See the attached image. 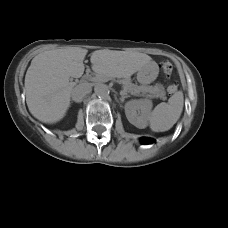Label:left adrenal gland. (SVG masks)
I'll list each match as a JSON object with an SVG mask.
<instances>
[{
  "label": "left adrenal gland",
  "instance_id": "left-adrenal-gland-1",
  "mask_svg": "<svg viewBox=\"0 0 228 228\" xmlns=\"http://www.w3.org/2000/svg\"><path fill=\"white\" fill-rule=\"evenodd\" d=\"M129 97V95H127L126 93H121V97L119 98V100H120V102L122 103V102H124V100H125V98H128Z\"/></svg>",
  "mask_w": 228,
  "mask_h": 228
}]
</instances>
